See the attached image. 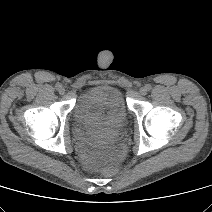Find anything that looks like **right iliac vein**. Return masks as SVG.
<instances>
[{"label": "right iliac vein", "instance_id": "obj_1", "mask_svg": "<svg viewBox=\"0 0 212 212\" xmlns=\"http://www.w3.org/2000/svg\"><path fill=\"white\" fill-rule=\"evenodd\" d=\"M58 91H59V94H61V95H64L65 94V89L62 86L59 88Z\"/></svg>", "mask_w": 212, "mask_h": 212}]
</instances>
